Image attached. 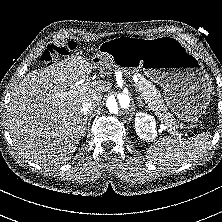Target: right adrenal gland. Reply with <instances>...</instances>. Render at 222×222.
<instances>
[{"instance_id": "1", "label": "right adrenal gland", "mask_w": 222, "mask_h": 222, "mask_svg": "<svg viewBox=\"0 0 222 222\" xmlns=\"http://www.w3.org/2000/svg\"><path fill=\"white\" fill-rule=\"evenodd\" d=\"M87 116H84V118H83V127H84V130H86V124H87Z\"/></svg>"}]
</instances>
